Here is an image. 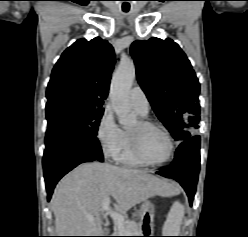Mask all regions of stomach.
Instances as JSON below:
<instances>
[{"label":"stomach","instance_id":"0dacf381","mask_svg":"<svg viewBox=\"0 0 248 237\" xmlns=\"http://www.w3.org/2000/svg\"><path fill=\"white\" fill-rule=\"evenodd\" d=\"M154 205L146 200L145 202H143L142 206H141V210H140V215L141 218L143 219L144 217H146L147 215L152 218L154 216Z\"/></svg>","mask_w":248,"mask_h":237}]
</instances>
